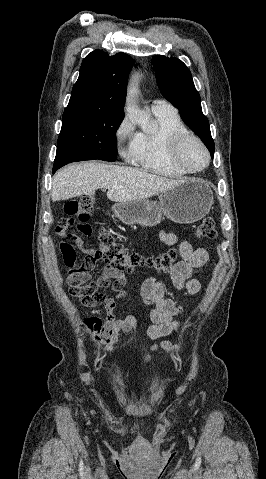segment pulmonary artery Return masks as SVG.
<instances>
[{
    "mask_svg": "<svg viewBox=\"0 0 266 479\" xmlns=\"http://www.w3.org/2000/svg\"><path fill=\"white\" fill-rule=\"evenodd\" d=\"M151 107L154 112H175V109L165 100H154Z\"/></svg>",
    "mask_w": 266,
    "mask_h": 479,
    "instance_id": "1",
    "label": "pulmonary artery"
}]
</instances>
